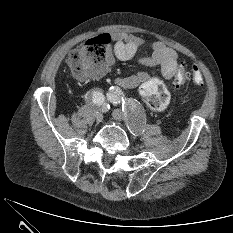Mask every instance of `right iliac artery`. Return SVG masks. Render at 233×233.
Listing matches in <instances>:
<instances>
[{
    "label": "right iliac artery",
    "instance_id": "82829eb1",
    "mask_svg": "<svg viewBox=\"0 0 233 233\" xmlns=\"http://www.w3.org/2000/svg\"><path fill=\"white\" fill-rule=\"evenodd\" d=\"M86 101L97 108H101L102 110H107L108 105L105 102V97L100 91H91L86 94Z\"/></svg>",
    "mask_w": 233,
    "mask_h": 233
}]
</instances>
